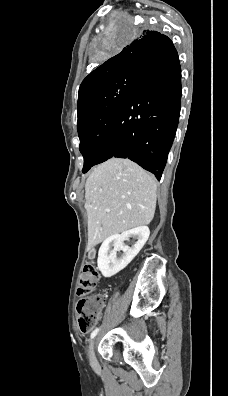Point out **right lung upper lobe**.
<instances>
[{
	"label": "right lung upper lobe",
	"instance_id": "cb5924a9",
	"mask_svg": "<svg viewBox=\"0 0 228 396\" xmlns=\"http://www.w3.org/2000/svg\"><path fill=\"white\" fill-rule=\"evenodd\" d=\"M170 40L157 31L144 30L129 45L92 71L79 88L78 108L88 94L103 83L132 71H139L141 64L158 46Z\"/></svg>",
	"mask_w": 228,
	"mask_h": 396
}]
</instances>
